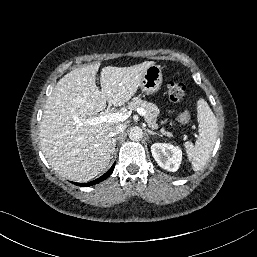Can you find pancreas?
<instances>
[{
  "instance_id": "1",
  "label": "pancreas",
  "mask_w": 257,
  "mask_h": 257,
  "mask_svg": "<svg viewBox=\"0 0 257 257\" xmlns=\"http://www.w3.org/2000/svg\"><path fill=\"white\" fill-rule=\"evenodd\" d=\"M127 107L129 110H136L137 108H143L146 111V114L144 116L145 121L148 123L149 127H151L152 129L158 128L156 120H157V116L160 113V110L155 104L142 100L140 97H134L130 102H128ZM161 133L168 137H172V133L167 132L164 129H161Z\"/></svg>"
}]
</instances>
